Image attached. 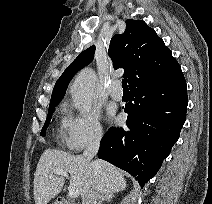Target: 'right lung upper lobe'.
Instances as JSON below:
<instances>
[{
  "label": "right lung upper lobe",
  "mask_w": 212,
  "mask_h": 204,
  "mask_svg": "<svg viewBox=\"0 0 212 204\" xmlns=\"http://www.w3.org/2000/svg\"><path fill=\"white\" fill-rule=\"evenodd\" d=\"M94 51L95 46L89 47L68 66L54 86L50 104H58L62 100L70 80L93 60ZM108 54L115 69H125L124 76L128 78L129 88L179 66L154 29L144 21L133 19L126 21L123 34L112 37Z\"/></svg>",
  "instance_id": "obj_1"
}]
</instances>
